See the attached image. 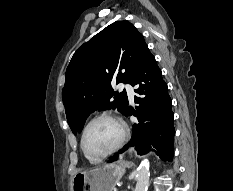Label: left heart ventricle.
Here are the masks:
<instances>
[{"label":"left heart ventricle","mask_w":233,"mask_h":191,"mask_svg":"<svg viewBox=\"0 0 233 191\" xmlns=\"http://www.w3.org/2000/svg\"><path fill=\"white\" fill-rule=\"evenodd\" d=\"M119 124L108 119L95 121L87 130L85 146L92 155H100L111 149L119 140Z\"/></svg>","instance_id":"1"}]
</instances>
